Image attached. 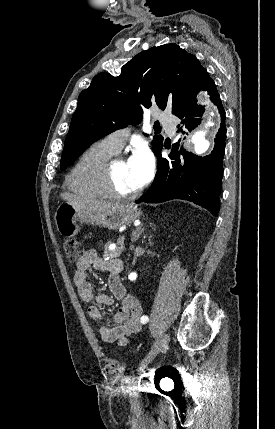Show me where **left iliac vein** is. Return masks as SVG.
<instances>
[{"label":"left iliac vein","instance_id":"left-iliac-vein-1","mask_svg":"<svg viewBox=\"0 0 275 429\" xmlns=\"http://www.w3.org/2000/svg\"><path fill=\"white\" fill-rule=\"evenodd\" d=\"M169 341L170 336L168 334H164L161 338L160 344H155L148 355L142 360L140 370H143L160 351L166 350L168 348Z\"/></svg>","mask_w":275,"mask_h":429}]
</instances>
